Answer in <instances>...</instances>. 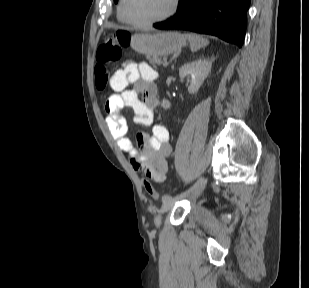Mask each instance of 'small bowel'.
<instances>
[{"instance_id": "c3829d8e", "label": "small bowel", "mask_w": 309, "mask_h": 288, "mask_svg": "<svg viewBox=\"0 0 309 288\" xmlns=\"http://www.w3.org/2000/svg\"><path fill=\"white\" fill-rule=\"evenodd\" d=\"M154 70L146 63L128 62L118 69L110 80L114 93L105 103V122L118 148L126 153L133 168L142 171L146 179L162 182L168 171L167 158L171 155L168 129L153 124V112L159 107L157 88L153 83ZM130 107L135 122L141 126H152V133L137 136L138 148L128 137V125L121 113Z\"/></svg>"}]
</instances>
